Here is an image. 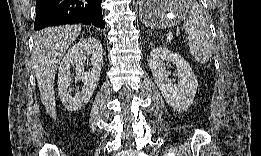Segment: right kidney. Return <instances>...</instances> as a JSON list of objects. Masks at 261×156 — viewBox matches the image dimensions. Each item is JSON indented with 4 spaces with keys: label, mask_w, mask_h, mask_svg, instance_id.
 Segmentation results:
<instances>
[{
    "label": "right kidney",
    "mask_w": 261,
    "mask_h": 156,
    "mask_svg": "<svg viewBox=\"0 0 261 156\" xmlns=\"http://www.w3.org/2000/svg\"><path fill=\"white\" fill-rule=\"evenodd\" d=\"M85 55H91L92 69L89 73L81 74L85 64ZM103 62L101 43L94 37L84 38L74 44L63 58L58 73V91L64 106L71 111L81 109L90 100L100 78ZM76 66V78L83 83L82 91L72 96L69 87L72 81L70 69Z\"/></svg>",
    "instance_id": "ca27d5eb"
}]
</instances>
